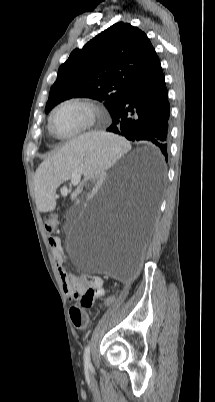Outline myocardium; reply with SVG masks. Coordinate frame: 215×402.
Segmentation results:
<instances>
[{"instance_id":"1","label":"myocardium","mask_w":215,"mask_h":402,"mask_svg":"<svg viewBox=\"0 0 215 402\" xmlns=\"http://www.w3.org/2000/svg\"><path fill=\"white\" fill-rule=\"evenodd\" d=\"M67 105H77V106H81V107L85 108L88 112V120H87L86 124L79 130H77L73 133L67 134V135H60V134L56 133V131L54 130L52 121H53V117H54L55 113L60 108L67 106ZM101 115H102V109L93 100H90L87 98H78V97L67 98L65 100H62L61 102H59L52 108V110L49 114V117H48V129H49L50 133L57 139H60V140L75 139V138H78V137L90 132L92 129H94L95 126L97 125V122Z\"/></svg>"}]
</instances>
